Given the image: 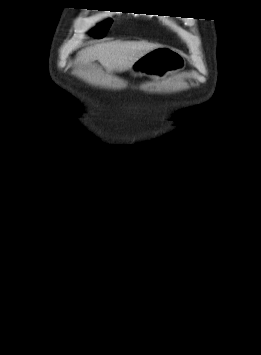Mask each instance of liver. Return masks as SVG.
Instances as JSON below:
<instances>
[{
  "label": "liver",
  "mask_w": 261,
  "mask_h": 355,
  "mask_svg": "<svg viewBox=\"0 0 261 355\" xmlns=\"http://www.w3.org/2000/svg\"><path fill=\"white\" fill-rule=\"evenodd\" d=\"M159 47L144 41H115L88 47L78 53L77 62L88 65L98 60L107 70L125 71L147 52Z\"/></svg>",
  "instance_id": "obj_1"
}]
</instances>
